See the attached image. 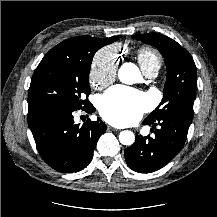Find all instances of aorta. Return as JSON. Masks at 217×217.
<instances>
[{
	"instance_id": "aorta-1",
	"label": "aorta",
	"mask_w": 217,
	"mask_h": 217,
	"mask_svg": "<svg viewBox=\"0 0 217 217\" xmlns=\"http://www.w3.org/2000/svg\"><path fill=\"white\" fill-rule=\"evenodd\" d=\"M119 80L125 84H134L140 80V71L133 63H124L118 71ZM119 141L123 145H132L135 141V135L132 131L125 130L120 132Z\"/></svg>"
}]
</instances>
